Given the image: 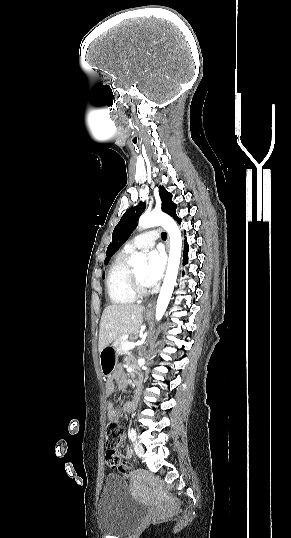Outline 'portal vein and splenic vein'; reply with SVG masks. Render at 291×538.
<instances>
[{"mask_svg": "<svg viewBox=\"0 0 291 538\" xmlns=\"http://www.w3.org/2000/svg\"><path fill=\"white\" fill-rule=\"evenodd\" d=\"M146 336L147 333H144V335L141 337V340H138L137 342H124L122 348L128 350L134 348L135 346H140L144 343Z\"/></svg>", "mask_w": 291, "mask_h": 538, "instance_id": "1", "label": "portal vein and splenic vein"}]
</instances>
